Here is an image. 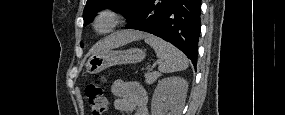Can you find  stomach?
Masks as SVG:
<instances>
[{
  "instance_id": "0dacf381",
  "label": "stomach",
  "mask_w": 285,
  "mask_h": 115,
  "mask_svg": "<svg viewBox=\"0 0 285 115\" xmlns=\"http://www.w3.org/2000/svg\"><path fill=\"white\" fill-rule=\"evenodd\" d=\"M145 58V51L139 48L128 50H110L104 53L91 55L85 66L90 74H97L108 67L120 64H135Z\"/></svg>"
}]
</instances>
